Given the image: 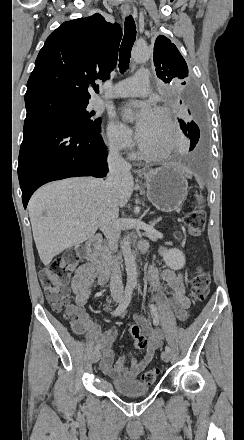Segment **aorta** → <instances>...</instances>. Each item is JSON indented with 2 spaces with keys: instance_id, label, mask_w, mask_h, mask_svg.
Wrapping results in <instances>:
<instances>
[{
  "instance_id": "1",
  "label": "aorta",
  "mask_w": 244,
  "mask_h": 440,
  "mask_svg": "<svg viewBox=\"0 0 244 440\" xmlns=\"http://www.w3.org/2000/svg\"><path fill=\"white\" fill-rule=\"evenodd\" d=\"M133 59L137 62H145L151 56V51L145 47H137L133 50L132 53ZM127 119L132 120L133 114L131 111H128L126 114ZM121 250L124 257L125 262V270L127 275V285L135 286L137 284V270H136V262L131 251L129 237L126 234L121 241Z\"/></svg>"
}]
</instances>
